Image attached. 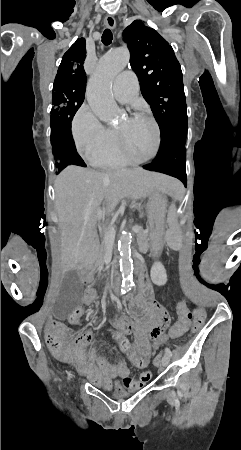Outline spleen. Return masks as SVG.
Wrapping results in <instances>:
<instances>
[{
  "label": "spleen",
  "instance_id": "1",
  "mask_svg": "<svg viewBox=\"0 0 241 450\" xmlns=\"http://www.w3.org/2000/svg\"><path fill=\"white\" fill-rule=\"evenodd\" d=\"M169 226L167 230V242L169 244V249L173 253H178L182 248L181 237L183 230L181 228H177L178 224V214L176 212H171L169 214Z\"/></svg>",
  "mask_w": 241,
  "mask_h": 450
}]
</instances>
